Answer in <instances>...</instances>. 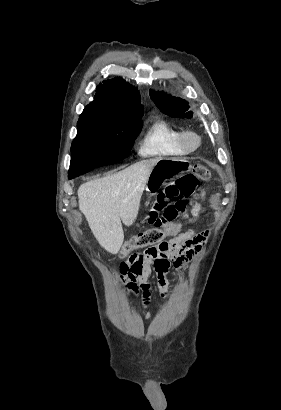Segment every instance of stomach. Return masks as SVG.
Instances as JSON below:
<instances>
[{
	"label": "stomach",
	"instance_id": "1",
	"mask_svg": "<svg viewBox=\"0 0 281 410\" xmlns=\"http://www.w3.org/2000/svg\"><path fill=\"white\" fill-rule=\"evenodd\" d=\"M190 163L183 158H160L152 168L147 182L146 190L154 194L164 183L173 176L189 171Z\"/></svg>",
	"mask_w": 281,
	"mask_h": 410
}]
</instances>
